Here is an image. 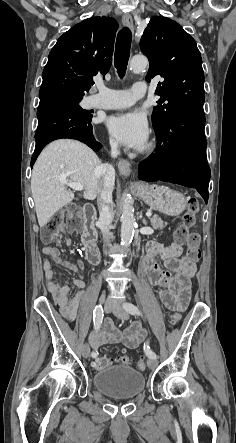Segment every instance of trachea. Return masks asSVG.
Segmentation results:
<instances>
[{
	"label": "trachea",
	"mask_w": 236,
	"mask_h": 443,
	"mask_svg": "<svg viewBox=\"0 0 236 443\" xmlns=\"http://www.w3.org/2000/svg\"><path fill=\"white\" fill-rule=\"evenodd\" d=\"M131 39V31L127 27L120 30L117 35L114 65L120 78H123L126 73L128 60L130 57Z\"/></svg>",
	"instance_id": "3493384b"
}]
</instances>
